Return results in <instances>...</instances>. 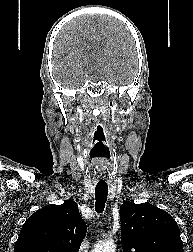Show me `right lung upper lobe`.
<instances>
[{"label": "right lung upper lobe", "instance_id": "1", "mask_svg": "<svg viewBox=\"0 0 193 252\" xmlns=\"http://www.w3.org/2000/svg\"><path fill=\"white\" fill-rule=\"evenodd\" d=\"M85 234L75 202L47 205L24 223L14 252H78Z\"/></svg>", "mask_w": 193, "mask_h": 252}]
</instances>
